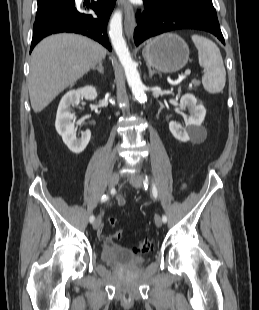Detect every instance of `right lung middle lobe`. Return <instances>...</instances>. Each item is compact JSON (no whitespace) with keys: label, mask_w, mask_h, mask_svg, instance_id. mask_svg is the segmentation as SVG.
I'll use <instances>...</instances> for the list:
<instances>
[{"label":"right lung middle lobe","mask_w":259,"mask_h":310,"mask_svg":"<svg viewBox=\"0 0 259 310\" xmlns=\"http://www.w3.org/2000/svg\"><path fill=\"white\" fill-rule=\"evenodd\" d=\"M74 0H38L37 12L44 11L53 7H62L72 4Z\"/></svg>","instance_id":"obj_1"}]
</instances>
